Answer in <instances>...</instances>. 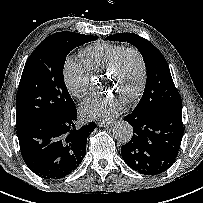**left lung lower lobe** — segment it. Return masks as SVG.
I'll return each instance as SVG.
<instances>
[{
  "instance_id": "0a47b994",
  "label": "left lung lower lobe",
  "mask_w": 203,
  "mask_h": 203,
  "mask_svg": "<svg viewBox=\"0 0 203 203\" xmlns=\"http://www.w3.org/2000/svg\"><path fill=\"white\" fill-rule=\"evenodd\" d=\"M134 130L121 147L125 163L143 175H158L170 168L179 151L184 127L182 111L148 115L133 111L125 116Z\"/></svg>"
}]
</instances>
